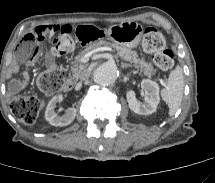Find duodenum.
<instances>
[{
    "label": "duodenum",
    "mask_w": 215,
    "mask_h": 183,
    "mask_svg": "<svg viewBox=\"0 0 215 183\" xmlns=\"http://www.w3.org/2000/svg\"><path fill=\"white\" fill-rule=\"evenodd\" d=\"M73 88V82L68 80L63 84L64 91H70Z\"/></svg>",
    "instance_id": "1"
}]
</instances>
